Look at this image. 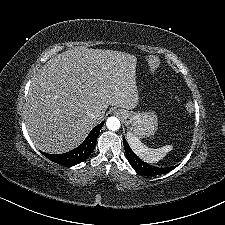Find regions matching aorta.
<instances>
[{
    "label": "aorta",
    "instance_id": "1",
    "mask_svg": "<svg viewBox=\"0 0 225 225\" xmlns=\"http://www.w3.org/2000/svg\"><path fill=\"white\" fill-rule=\"evenodd\" d=\"M120 121L117 117L111 116L106 120V126L109 130L116 131L120 128Z\"/></svg>",
    "mask_w": 225,
    "mask_h": 225
}]
</instances>
